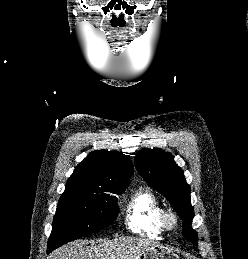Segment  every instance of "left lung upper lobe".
<instances>
[{
	"label": "left lung upper lobe",
	"instance_id": "1",
	"mask_svg": "<svg viewBox=\"0 0 248 259\" xmlns=\"http://www.w3.org/2000/svg\"><path fill=\"white\" fill-rule=\"evenodd\" d=\"M135 166L147 184L167 198L183 220V236L196 245L197 233L191 228L194 210L190 201V186L173 156L158 148L143 150L136 154Z\"/></svg>",
	"mask_w": 248,
	"mask_h": 259
}]
</instances>
